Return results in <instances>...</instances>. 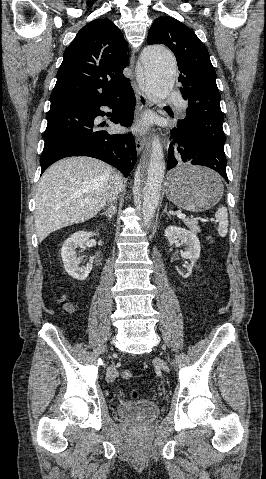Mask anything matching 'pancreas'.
I'll use <instances>...</instances> for the list:
<instances>
[{"mask_svg":"<svg viewBox=\"0 0 266 479\" xmlns=\"http://www.w3.org/2000/svg\"><path fill=\"white\" fill-rule=\"evenodd\" d=\"M184 224L194 233L200 232V227L198 226V221L195 218H185L183 219Z\"/></svg>","mask_w":266,"mask_h":479,"instance_id":"cf45deb5","label":"pancreas"}]
</instances>
